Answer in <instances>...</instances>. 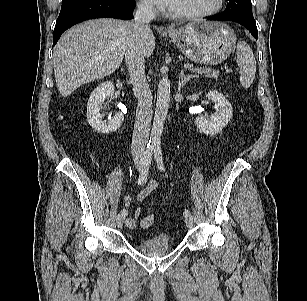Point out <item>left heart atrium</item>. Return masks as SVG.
Returning a JSON list of instances; mask_svg holds the SVG:
<instances>
[{
    "label": "left heart atrium",
    "instance_id": "left-heart-atrium-1",
    "mask_svg": "<svg viewBox=\"0 0 307 301\" xmlns=\"http://www.w3.org/2000/svg\"><path fill=\"white\" fill-rule=\"evenodd\" d=\"M151 1L154 2L161 9L171 10L176 0H151Z\"/></svg>",
    "mask_w": 307,
    "mask_h": 301
}]
</instances>
